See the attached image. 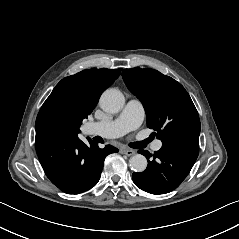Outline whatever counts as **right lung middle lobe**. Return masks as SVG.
<instances>
[{
    "instance_id": "obj_1",
    "label": "right lung middle lobe",
    "mask_w": 239,
    "mask_h": 239,
    "mask_svg": "<svg viewBox=\"0 0 239 239\" xmlns=\"http://www.w3.org/2000/svg\"><path fill=\"white\" fill-rule=\"evenodd\" d=\"M88 115L89 113L79 108L57 104L44 113L41 127L43 131H58L76 137L80 133L79 128L82 120L87 118Z\"/></svg>"
}]
</instances>
